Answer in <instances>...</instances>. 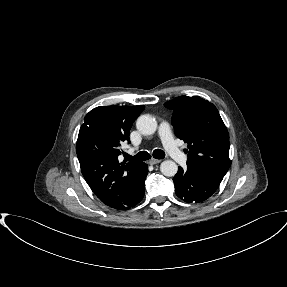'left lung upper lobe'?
Listing matches in <instances>:
<instances>
[{
    "instance_id": "1",
    "label": "left lung upper lobe",
    "mask_w": 287,
    "mask_h": 287,
    "mask_svg": "<svg viewBox=\"0 0 287 287\" xmlns=\"http://www.w3.org/2000/svg\"><path fill=\"white\" fill-rule=\"evenodd\" d=\"M164 106L173 110L176 136L188 143L187 169L223 178L231 165L229 134L217 108L199 96H180Z\"/></svg>"
}]
</instances>
